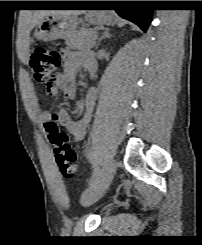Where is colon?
Listing matches in <instances>:
<instances>
[{
	"instance_id": "colon-1",
	"label": "colon",
	"mask_w": 202,
	"mask_h": 245,
	"mask_svg": "<svg viewBox=\"0 0 202 245\" xmlns=\"http://www.w3.org/2000/svg\"><path fill=\"white\" fill-rule=\"evenodd\" d=\"M62 61V54L46 48L36 49L30 57L33 79L37 84L44 85V96L52 98L57 93L55 71ZM55 155L57 165L66 178L80 174L76 153L67 144V136L59 129L57 117L53 116L44 123Z\"/></svg>"
}]
</instances>
